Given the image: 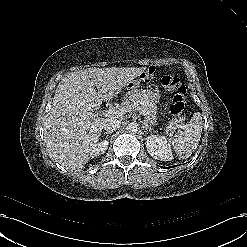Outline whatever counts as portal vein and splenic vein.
Instances as JSON below:
<instances>
[{
	"label": "portal vein and splenic vein",
	"mask_w": 247,
	"mask_h": 247,
	"mask_svg": "<svg viewBox=\"0 0 247 247\" xmlns=\"http://www.w3.org/2000/svg\"><path fill=\"white\" fill-rule=\"evenodd\" d=\"M128 112V110L125 107H119V106H111L109 107L108 110L103 111L102 115L104 117H110V116H115V117H121L124 114H126ZM177 128H182L184 129L185 126L182 125H176ZM175 126H170L169 128L175 130L176 129Z\"/></svg>",
	"instance_id": "obj_1"
}]
</instances>
